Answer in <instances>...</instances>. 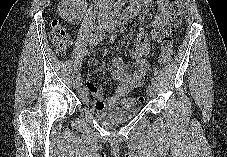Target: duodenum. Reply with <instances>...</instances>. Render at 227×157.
I'll list each match as a JSON object with an SVG mask.
<instances>
[{"label":"duodenum","mask_w":227,"mask_h":157,"mask_svg":"<svg viewBox=\"0 0 227 157\" xmlns=\"http://www.w3.org/2000/svg\"><path fill=\"white\" fill-rule=\"evenodd\" d=\"M138 0H132L126 11L121 15L119 22L122 24L138 12Z\"/></svg>","instance_id":"duodenum-1"}]
</instances>
